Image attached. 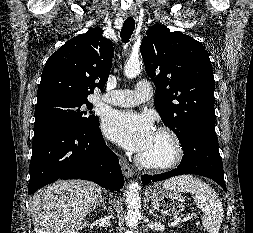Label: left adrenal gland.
Wrapping results in <instances>:
<instances>
[{
    "mask_svg": "<svg viewBox=\"0 0 253 233\" xmlns=\"http://www.w3.org/2000/svg\"><path fill=\"white\" fill-rule=\"evenodd\" d=\"M150 214H152L155 217H158V215L156 213H154L153 206L150 207Z\"/></svg>",
    "mask_w": 253,
    "mask_h": 233,
    "instance_id": "left-adrenal-gland-1",
    "label": "left adrenal gland"
}]
</instances>
